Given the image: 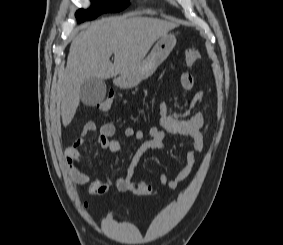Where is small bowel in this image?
<instances>
[{"instance_id": "obj_1", "label": "small bowel", "mask_w": 283, "mask_h": 245, "mask_svg": "<svg viewBox=\"0 0 283 245\" xmlns=\"http://www.w3.org/2000/svg\"><path fill=\"white\" fill-rule=\"evenodd\" d=\"M195 77L188 72L181 76V85L185 90H191L195 86ZM204 93L198 91L194 94L188 107L183 111H172L167 102L162 101L159 105L160 120L158 126L148 128L149 139H144L145 134L141 129L127 127L124 130L126 138L141 141L134 156L132 157L125 178L112 179L108 177L105 181L93 180L82 172L78 167L79 148L84 144V136L97 130L95 123L88 122L84 125L81 136L77 138L65 151V160L71 178L79 184H89V193L94 196L105 194L111 187H115L121 192H130L136 195L135 190L131 189L133 175L141 156L148 150H164L163 140L166 135L179 136L191 141V147L185 155L186 163L171 179L166 175L158 177L160 185H167L170 189H175L192 172L196 163V155L203 150L209 128V118L206 110L203 112H192V109L203 98ZM116 127L113 123H106L99 128L97 142L104 150L116 153L121 149L120 142L114 138ZM87 206V204H85Z\"/></svg>"}]
</instances>
